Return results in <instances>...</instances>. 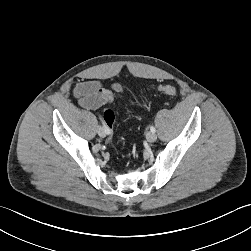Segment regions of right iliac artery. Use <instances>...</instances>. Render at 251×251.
<instances>
[{
  "mask_svg": "<svg viewBox=\"0 0 251 251\" xmlns=\"http://www.w3.org/2000/svg\"><path fill=\"white\" fill-rule=\"evenodd\" d=\"M100 120L102 122V125H103V128L105 130V133L106 134H109L110 133V130L108 129V127L105 125L104 121L102 120V118L100 117Z\"/></svg>",
  "mask_w": 251,
  "mask_h": 251,
  "instance_id": "1",
  "label": "right iliac artery"
}]
</instances>
